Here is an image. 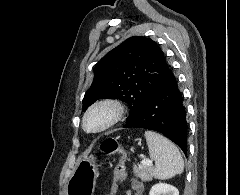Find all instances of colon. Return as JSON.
I'll return each instance as SVG.
<instances>
[{"label": "colon", "instance_id": "5ec220e1", "mask_svg": "<svg viewBox=\"0 0 240 195\" xmlns=\"http://www.w3.org/2000/svg\"><path fill=\"white\" fill-rule=\"evenodd\" d=\"M102 149L107 154L116 152L120 156V160L118 161L116 167L113 170V185H112V191L118 192L120 181L124 180V173L126 169L125 165L128 160V153L126 151H123V148L119 147L118 143L112 139L106 140L103 144Z\"/></svg>", "mask_w": 240, "mask_h": 195}]
</instances>
